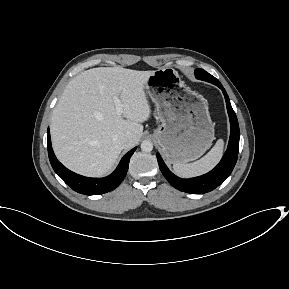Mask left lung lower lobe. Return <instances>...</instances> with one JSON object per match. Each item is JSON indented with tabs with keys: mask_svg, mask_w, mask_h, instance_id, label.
Segmentation results:
<instances>
[{
	"mask_svg": "<svg viewBox=\"0 0 289 289\" xmlns=\"http://www.w3.org/2000/svg\"><path fill=\"white\" fill-rule=\"evenodd\" d=\"M218 87L224 94L231 124V134L228 148L220 163L212 171L205 175L191 179H182L170 172V170L163 162L161 156L157 153V160L161 172L169 181V183L180 191L191 194L210 192L222 184L229 177L236 164L240 137L238 120L225 89L222 85H219Z\"/></svg>",
	"mask_w": 289,
	"mask_h": 289,
	"instance_id": "0a47b994",
	"label": "left lung lower lobe"
}]
</instances>
